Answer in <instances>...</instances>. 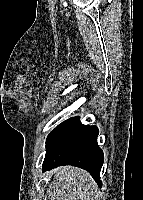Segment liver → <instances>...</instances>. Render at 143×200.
Segmentation results:
<instances>
[{"label": "liver", "instance_id": "1", "mask_svg": "<svg viewBox=\"0 0 143 200\" xmlns=\"http://www.w3.org/2000/svg\"><path fill=\"white\" fill-rule=\"evenodd\" d=\"M53 173V181L47 191L49 200H94L97 187L87 171L61 166Z\"/></svg>", "mask_w": 143, "mask_h": 200}]
</instances>
